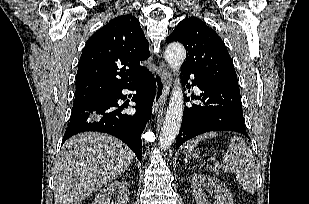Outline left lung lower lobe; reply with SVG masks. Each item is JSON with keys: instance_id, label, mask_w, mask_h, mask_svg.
Segmentation results:
<instances>
[{"instance_id": "0a47b994", "label": "left lung lower lobe", "mask_w": 309, "mask_h": 204, "mask_svg": "<svg viewBox=\"0 0 309 204\" xmlns=\"http://www.w3.org/2000/svg\"><path fill=\"white\" fill-rule=\"evenodd\" d=\"M182 73L185 84L189 75L194 74L192 85L202 92L199 97L191 99H199L203 105L185 107L176 149L185 141L210 131H235L249 138L245 130L238 85L211 79L201 73L184 70ZM189 100L190 98H187V101Z\"/></svg>"}]
</instances>
